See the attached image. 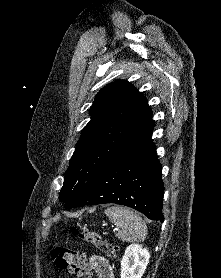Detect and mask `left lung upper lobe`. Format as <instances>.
<instances>
[{"label":"left lung upper lobe","instance_id":"left-lung-upper-lobe-1","mask_svg":"<svg viewBox=\"0 0 221 278\" xmlns=\"http://www.w3.org/2000/svg\"><path fill=\"white\" fill-rule=\"evenodd\" d=\"M90 114L91 120L81 133L60 191L66 209L74 207L121 150L154 125L147 100L125 80L102 88Z\"/></svg>","mask_w":221,"mask_h":278}]
</instances>
